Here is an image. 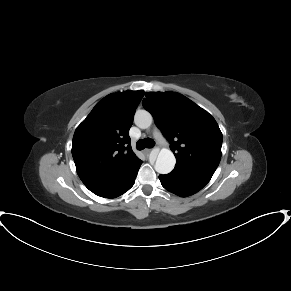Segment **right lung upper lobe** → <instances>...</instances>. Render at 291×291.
Masks as SVG:
<instances>
[{
  "label": "right lung upper lobe",
  "mask_w": 291,
  "mask_h": 291,
  "mask_svg": "<svg viewBox=\"0 0 291 291\" xmlns=\"http://www.w3.org/2000/svg\"><path fill=\"white\" fill-rule=\"evenodd\" d=\"M143 96L142 90L109 94L75 130L72 156L90 191L116 187L141 162L132 151L129 129Z\"/></svg>",
  "instance_id": "1"
}]
</instances>
